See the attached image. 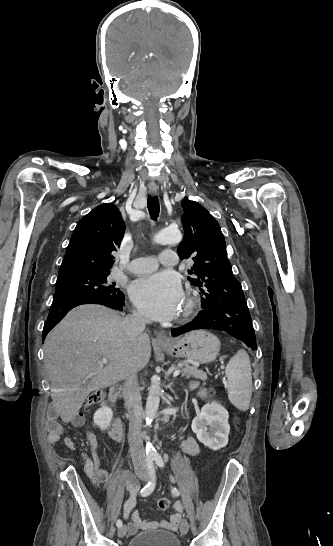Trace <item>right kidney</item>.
<instances>
[{"label": "right kidney", "mask_w": 333, "mask_h": 546, "mask_svg": "<svg viewBox=\"0 0 333 546\" xmlns=\"http://www.w3.org/2000/svg\"><path fill=\"white\" fill-rule=\"evenodd\" d=\"M113 417L112 410L106 406L103 402L101 408H99L94 414V424L99 426L101 430L108 428Z\"/></svg>", "instance_id": "1"}]
</instances>
